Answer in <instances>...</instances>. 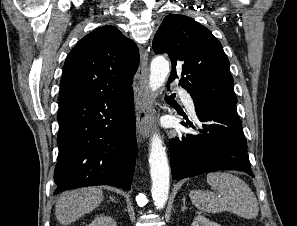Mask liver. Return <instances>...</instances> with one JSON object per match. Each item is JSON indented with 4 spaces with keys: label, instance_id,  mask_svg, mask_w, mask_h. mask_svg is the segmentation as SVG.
Returning <instances> with one entry per match:
<instances>
[{
    "label": "liver",
    "instance_id": "obj_1",
    "mask_svg": "<svg viewBox=\"0 0 297 226\" xmlns=\"http://www.w3.org/2000/svg\"><path fill=\"white\" fill-rule=\"evenodd\" d=\"M102 201L103 192L95 187L63 193L55 205L56 219L61 225H69L93 211Z\"/></svg>",
    "mask_w": 297,
    "mask_h": 226
}]
</instances>
